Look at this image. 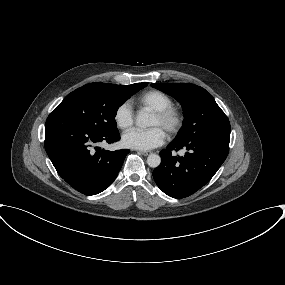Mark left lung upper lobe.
Instances as JSON below:
<instances>
[{
	"instance_id": "obj_1",
	"label": "left lung upper lobe",
	"mask_w": 285,
	"mask_h": 285,
	"mask_svg": "<svg viewBox=\"0 0 285 285\" xmlns=\"http://www.w3.org/2000/svg\"><path fill=\"white\" fill-rule=\"evenodd\" d=\"M151 86L174 97L183 107V126L175 142L195 138L230 139L229 120L205 89L189 83H154Z\"/></svg>"
}]
</instances>
